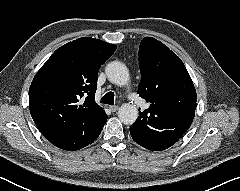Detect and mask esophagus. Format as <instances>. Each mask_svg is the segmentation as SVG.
Masks as SVG:
<instances>
[{
    "label": "esophagus",
    "mask_w": 240,
    "mask_h": 191,
    "mask_svg": "<svg viewBox=\"0 0 240 191\" xmlns=\"http://www.w3.org/2000/svg\"><path fill=\"white\" fill-rule=\"evenodd\" d=\"M109 108L112 112H116L119 109V106H110Z\"/></svg>",
    "instance_id": "obj_1"
}]
</instances>
